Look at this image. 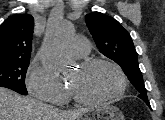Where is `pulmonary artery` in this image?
Here are the masks:
<instances>
[{"label": "pulmonary artery", "mask_w": 165, "mask_h": 120, "mask_svg": "<svg viewBox=\"0 0 165 120\" xmlns=\"http://www.w3.org/2000/svg\"><path fill=\"white\" fill-rule=\"evenodd\" d=\"M90 45L87 40L76 37L66 47V51L75 58L84 57L89 53Z\"/></svg>", "instance_id": "e3ab8cb5"}]
</instances>
